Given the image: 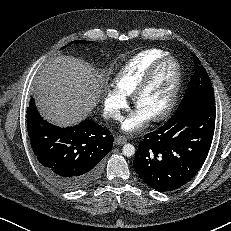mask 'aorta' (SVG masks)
Wrapping results in <instances>:
<instances>
[{
	"instance_id": "aorta-1",
	"label": "aorta",
	"mask_w": 231,
	"mask_h": 231,
	"mask_svg": "<svg viewBox=\"0 0 231 231\" xmlns=\"http://www.w3.org/2000/svg\"><path fill=\"white\" fill-rule=\"evenodd\" d=\"M122 153L126 157H131L135 154V147L132 144H125L122 148Z\"/></svg>"
}]
</instances>
